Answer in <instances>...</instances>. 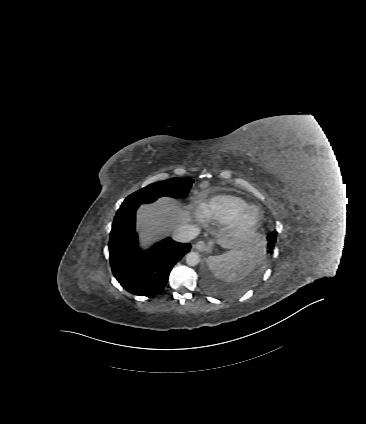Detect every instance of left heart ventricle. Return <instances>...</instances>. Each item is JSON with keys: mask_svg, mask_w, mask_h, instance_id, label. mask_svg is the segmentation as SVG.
Segmentation results:
<instances>
[{"mask_svg": "<svg viewBox=\"0 0 366 424\" xmlns=\"http://www.w3.org/2000/svg\"><path fill=\"white\" fill-rule=\"evenodd\" d=\"M251 217H252V213L249 214V218H251Z\"/></svg>", "mask_w": 366, "mask_h": 424, "instance_id": "obj_1", "label": "left heart ventricle"}]
</instances>
